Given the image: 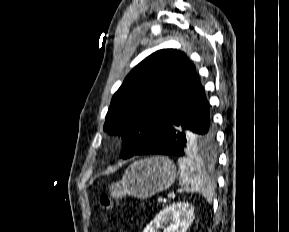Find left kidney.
<instances>
[{
    "label": "left kidney",
    "mask_w": 289,
    "mask_h": 232,
    "mask_svg": "<svg viewBox=\"0 0 289 232\" xmlns=\"http://www.w3.org/2000/svg\"><path fill=\"white\" fill-rule=\"evenodd\" d=\"M194 218V207L188 202L173 203L161 210L143 232H157L163 225H167L163 232H186Z\"/></svg>",
    "instance_id": "obj_1"
}]
</instances>
